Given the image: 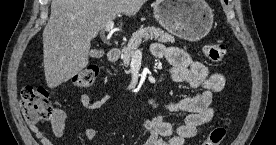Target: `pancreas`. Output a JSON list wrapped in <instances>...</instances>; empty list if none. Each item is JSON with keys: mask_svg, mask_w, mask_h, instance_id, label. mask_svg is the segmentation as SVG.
Masks as SVG:
<instances>
[{"mask_svg": "<svg viewBox=\"0 0 276 145\" xmlns=\"http://www.w3.org/2000/svg\"><path fill=\"white\" fill-rule=\"evenodd\" d=\"M157 40L162 43H174L175 39L172 35L165 33L162 29L156 27H145L140 28L138 31L133 33L127 46L122 50V60L124 66H128L134 52L140 47V45L148 40Z\"/></svg>", "mask_w": 276, "mask_h": 145, "instance_id": "cf45deb5", "label": "pancreas"}]
</instances>
